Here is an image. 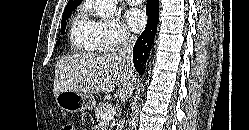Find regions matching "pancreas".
Here are the masks:
<instances>
[{"mask_svg": "<svg viewBox=\"0 0 249 130\" xmlns=\"http://www.w3.org/2000/svg\"><path fill=\"white\" fill-rule=\"evenodd\" d=\"M111 108L112 106L108 103H100L95 107V118L97 119V121H99L100 123H104L105 125H109L110 128L113 126V122H110V124L104 122L101 118V115Z\"/></svg>", "mask_w": 249, "mask_h": 130, "instance_id": "pancreas-1", "label": "pancreas"}]
</instances>
